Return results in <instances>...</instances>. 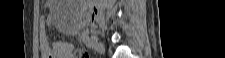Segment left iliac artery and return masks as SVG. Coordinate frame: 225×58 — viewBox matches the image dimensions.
I'll list each match as a JSON object with an SVG mask.
<instances>
[{
	"instance_id": "1",
	"label": "left iliac artery",
	"mask_w": 225,
	"mask_h": 58,
	"mask_svg": "<svg viewBox=\"0 0 225 58\" xmlns=\"http://www.w3.org/2000/svg\"><path fill=\"white\" fill-rule=\"evenodd\" d=\"M83 41L86 43V45H90V39L86 32L83 33Z\"/></svg>"
}]
</instances>
